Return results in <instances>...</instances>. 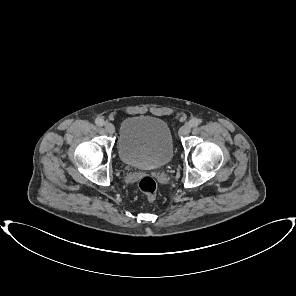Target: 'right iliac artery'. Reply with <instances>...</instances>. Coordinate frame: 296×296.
Masks as SVG:
<instances>
[{"mask_svg": "<svg viewBox=\"0 0 296 296\" xmlns=\"http://www.w3.org/2000/svg\"><path fill=\"white\" fill-rule=\"evenodd\" d=\"M95 123L97 126H103L104 125V120L100 117L96 118Z\"/></svg>", "mask_w": 296, "mask_h": 296, "instance_id": "obj_1", "label": "right iliac artery"}]
</instances>
